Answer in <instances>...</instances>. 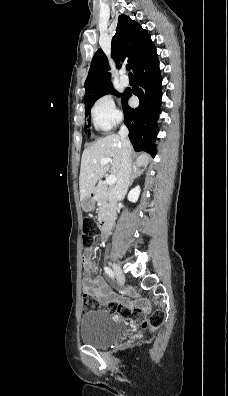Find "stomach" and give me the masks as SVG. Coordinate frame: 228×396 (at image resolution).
<instances>
[{
	"mask_svg": "<svg viewBox=\"0 0 228 396\" xmlns=\"http://www.w3.org/2000/svg\"><path fill=\"white\" fill-rule=\"evenodd\" d=\"M95 193H90L81 201V207L85 212H90L95 206Z\"/></svg>",
	"mask_w": 228,
	"mask_h": 396,
	"instance_id": "1",
	"label": "stomach"
}]
</instances>
